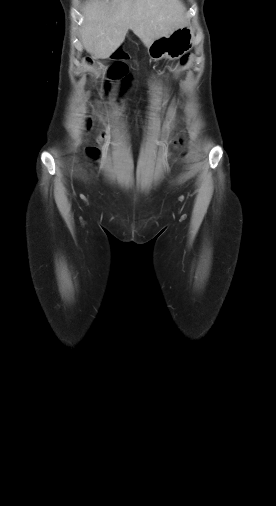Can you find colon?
<instances>
[{
	"label": "colon",
	"mask_w": 276,
	"mask_h": 506,
	"mask_svg": "<svg viewBox=\"0 0 276 506\" xmlns=\"http://www.w3.org/2000/svg\"><path fill=\"white\" fill-rule=\"evenodd\" d=\"M127 51H128V53H130V54H128V56H126V57H120V58H119V57H117V56H116V54H115L116 52H115V50H114V49H108V50L105 52V57H106L108 60H112V62H113L114 64H119V63L123 62V60H125V59H130V58L132 57V52H131L130 50H127ZM82 55H83V54H82ZM84 60H85V62L89 63V62H91V60H92V59H91V57L87 56V57H85V59H84ZM183 62H185V59H183ZM128 75H129V74H128V72H126V71H123V72H122L120 69H114V70L111 72V77H112L114 80H120L122 77H123V78H126V77H128ZM132 75H133V77H135V78H136V77H138V75H139V74H138V72H136V71H135V72H133V74H132ZM104 140H105V136H101V137H100V141H104ZM92 153H95V150H92Z\"/></svg>",
	"instance_id": "1"
}]
</instances>
